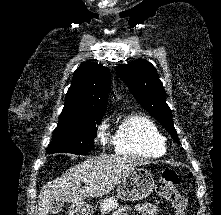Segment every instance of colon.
<instances>
[{
  "label": "colon",
  "instance_id": "1",
  "mask_svg": "<svg viewBox=\"0 0 221 215\" xmlns=\"http://www.w3.org/2000/svg\"><path fill=\"white\" fill-rule=\"evenodd\" d=\"M180 176L174 170H165L156 185L157 193L174 208L176 215H186L187 199L178 191Z\"/></svg>",
  "mask_w": 221,
  "mask_h": 215
}]
</instances>
